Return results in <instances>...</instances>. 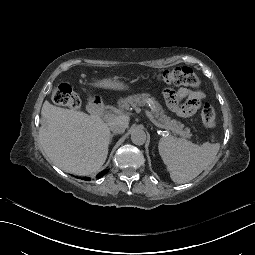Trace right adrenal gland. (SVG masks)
I'll list each match as a JSON object with an SVG mask.
<instances>
[{"label": "right adrenal gland", "mask_w": 255, "mask_h": 255, "mask_svg": "<svg viewBox=\"0 0 255 255\" xmlns=\"http://www.w3.org/2000/svg\"><path fill=\"white\" fill-rule=\"evenodd\" d=\"M113 136H114V134L111 135V139H112Z\"/></svg>", "instance_id": "right-adrenal-gland-1"}]
</instances>
